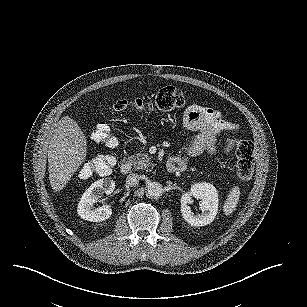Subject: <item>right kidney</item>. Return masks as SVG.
<instances>
[{"label": "right kidney", "instance_id": "ca27d5eb", "mask_svg": "<svg viewBox=\"0 0 307 307\" xmlns=\"http://www.w3.org/2000/svg\"><path fill=\"white\" fill-rule=\"evenodd\" d=\"M115 189V181L111 178H103L92 183L83 193L77 207L78 215L90 222H102L112 215L109 206L93 209L94 203L99 201L103 193L111 194Z\"/></svg>", "mask_w": 307, "mask_h": 307}]
</instances>
